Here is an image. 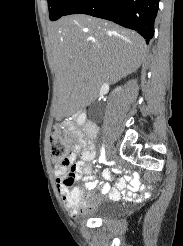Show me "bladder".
I'll list each match as a JSON object with an SVG mask.
<instances>
[{"label": "bladder", "mask_w": 183, "mask_h": 246, "mask_svg": "<svg viewBox=\"0 0 183 246\" xmlns=\"http://www.w3.org/2000/svg\"><path fill=\"white\" fill-rule=\"evenodd\" d=\"M121 207L109 201L97 200L88 213L89 218L109 219L118 216Z\"/></svg>", "instance_id": "obj_1"}]
</instances>
